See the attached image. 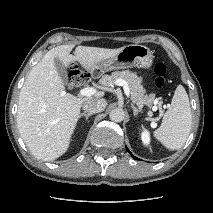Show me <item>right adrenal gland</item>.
Returning a JSON list of instances; mask_svg holds the SVG:
<instances>
[{
	"label": "right adrenal gland",
	"mask_w": 213,
	"mask_h": 213,
	"mask_svg": "<svg viewBox=\"0 0 213 213\" xmlns=\"http://www.w3.org/2000/svg\"><path fill=\"white\" fill-rule=\"evenodd\" d=\"M91 115H93L92 113H81L80 114V116H79V118L81 119L82 117H85V120L87 121L88 120V118L91 116Z\"/></svg>",
	"instance_id": "2a0ac1e0"
}]
</instances>
